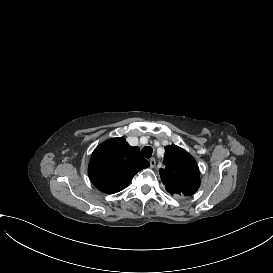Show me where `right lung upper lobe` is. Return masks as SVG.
Instances as JSON below:
<instances>
[{"label": "right lung upper lobe", "instance_id": "right-lung-upper-lobe-1", "mask_svg": "<svg viewBox=\"0 0 273 273\" xmlns=\"http://www.w3.org/2000/svg\"><path fill=\"white\" fill-rule=\"evenodd\" d=\"M148 166L149 162L141 156L140 149L119 137L96 147L88 174L94 186L102 192L113 194L126 188L134 175Z\"/></svg>", "mask_w": 273, "mask_h": 273}]
</instances>
